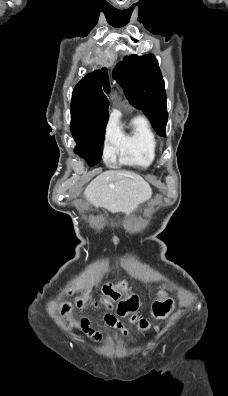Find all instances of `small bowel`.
<instances>
[{
    "label": "small bowel",
    "mask_w": 228,
    "mask_h": 396,
    "mask_svg": "<svg viewBox=\"0 0 228 396\" xmlns=\"http://www.w3.org/2000/svg\"><path fill=\"white\" fill-rule=\"evenodd\" d=\"M85 332H87L88 334H92V333H93V332H92L90 329H88V328L85 329ZM123 333L126 334V333H127L126 330H123ZM96 337H98V334L96 335Z\"/></svg>",
    "instance_id": "c3829d8e"
}]
</instances>
